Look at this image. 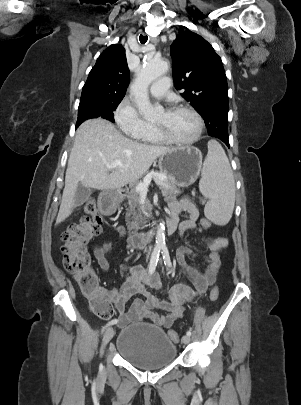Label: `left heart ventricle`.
<instances>
[{"label":"left heart ventricle","instance_id":"1","mask_svg":"<svg viewBox=\"0 0 301 405\" xmlns=\"http://www.w3.org/2000/svg\"><path fill=\"white\" fill-rule=\"evenodd\" d=\"M162 126L170 135L179 139H189L197 130V122L194 116L181 110H162L153 121Z\"/></svg>","mask_w":301,"mask_h":405}]
</instances>
